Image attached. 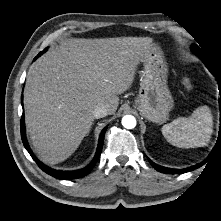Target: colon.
<instances>
[{
  "mask_svg": "<svg viewBox=\"0 0 221 221\" xmlns=\"http://www.w3.org/2000/svg\"><path fill=\"white\" fill-rule=\"evenodd\" d=\"M183 84H184L185 88H187V89H191L192 88V83H191L189 78H185L183 80Z\"/></svg>",
  "mask_w": 221,
  "mask_h": 221,
  "instance_id": "colon-1",
  "label": "colon"
}]
</instances>
